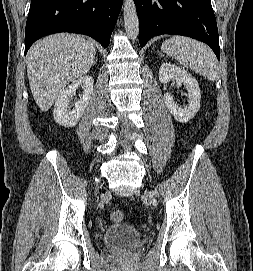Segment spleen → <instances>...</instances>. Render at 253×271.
<instances>
[{
    "instance_id": "1",
    "label": "spleen",
    "mask_w": 253,
    "mask_h": 271,
    "mask_svg": "<svg viewBox=\"0 0 253 271\" xmlns=\"http://www.w3.org/2000/svg\"><path fill=\"white\" fill-rule=\"evenodd\" d=\"M162 51L181 65L192 69L211 82L217 76V59L205 44L184 36H173L162 43Z\"/></svg>"
}]
</instances>
